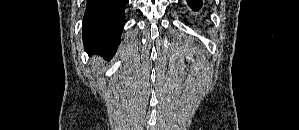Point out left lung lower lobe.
<instances>
[{
	"mask_svg": "<svg viewBox=\"0 0 299 130\" xmlns=\"http://www.w3.org/2000/svg\"><path fill=\"white\" fill-rule=\"evenodd\" d=\"M187 2L194 11L200 9L202 6L201 0H187Z\"/></svg>",
	"mask_w": 299,
	"mask_h": 130,
	"instance_id": "left-lung-lower-lobe-1",
	"label": "left lung lower lobe"
}]
</instances>
